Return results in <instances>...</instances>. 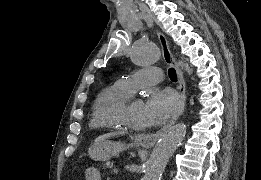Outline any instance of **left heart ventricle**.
Listing matches in <instances>:
<instances>
[{
  "label": "left heart ventricle",
  "mask_w": 261,
  "mask_h": 180,
  "mask_svg": "<svg viewBox=\"0 0 261 180\" xmlns=\"http://www.w3.org/2000/svg\"><path fill=\"white\" fill-rule=\"evenodd\" d=\"M122 121L138 133H145L153 123L144 111V102L139 98H133L127 109L120 115Z\"/></svg>",
  "instance_id": "left-heart-ventricle-1"
}]
</instances>
